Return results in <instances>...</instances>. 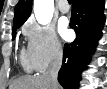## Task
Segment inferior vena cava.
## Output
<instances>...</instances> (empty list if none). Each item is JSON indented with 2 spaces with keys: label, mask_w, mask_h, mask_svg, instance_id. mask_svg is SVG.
<instances>
[{
  "label": "inferior vena cava",
  "mask_w": 107,
  "mask_h": 89,
  "mask_svg": "<svg viewBox=\"0 0 107 89\" xmlns=\"http://www.w3.org/2000/svg\"><path fill=\"white\" fill-rule=\"evenodd\" d=\"M62 57H63L62 48L61 46H58L56 48L53 60L50 63L48 70L44 73V76L50 82L52 89L58 88L57 75L62 65Z\"/></svg>",
  "instance_id": "602c4592"
}]
</instances>
